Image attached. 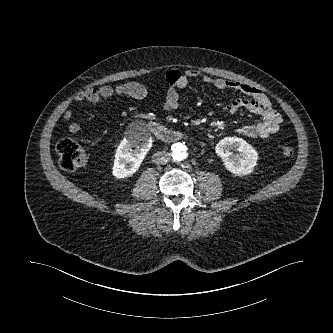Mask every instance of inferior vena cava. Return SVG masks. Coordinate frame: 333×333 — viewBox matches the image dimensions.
I'll return each mask as SVG.
<instances>
[{
	"label": "inferior vena cava",
	"instance_id": "1",
	"mask_svg": "<svg viewBox=\"0 0 333 333\" xmlns=\"http://www.w3.org/2000/svg\"><path fill=\"white\" fill-rule=\"evenodd\" d=\"M170 160V154L167 151H157L153 155V161L156 164H166Z\"/></svg>",
	"mask_w": 333,
	"mask_h": 333
}]
</instances>
